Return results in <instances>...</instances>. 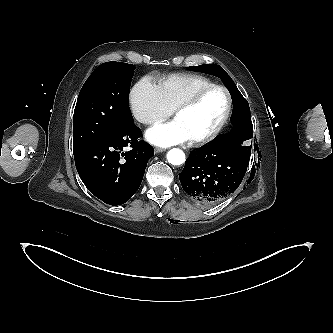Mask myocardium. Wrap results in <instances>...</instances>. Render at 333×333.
Here are the masks:
<instances>
[{"instance_id":"f54148a6","label":"myocardium","mask_w":333,"mask_h":333,"mask_svg":"<svg viewBox=\"0 0 333 333\" xmlns=\"http://www.w3.org/2000/svg\"><path fill=\"white\" fill-rule=\"evenodd\" d=\"M213 90H221L225 93L226 98H227V107H226L225 114H224L223 118L221 119V121L219 122V124L211 132H209L208 134H206L200 138L190 140V144L192 146H196V147L203 146V145L213 141L220 135V133L223 131V129L225 128V126L227 125V123L231 117V113H232V109H233L232 95L227 87L220 85V84H211V85L203 87L200 90H198L197 92H195L192 96H190L189 98H187L186 100L181 102L174 109V117L176 118L177 115H179L181 112L196 106L204 98L205 95H207L209 92H211Z\"/></svg>"}]
</instances>
